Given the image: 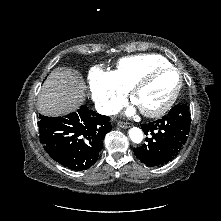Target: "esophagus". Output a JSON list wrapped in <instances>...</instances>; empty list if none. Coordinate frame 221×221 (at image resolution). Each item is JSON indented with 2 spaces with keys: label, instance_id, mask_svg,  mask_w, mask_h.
Here are the masks:
<instances>
[{
  "label": "esophagus",
  "instance_id": "34e87169",
  "mask_svg": "<svg viewBox=\"0 0 221 221\" xmlns=\"http://www.w3.org/2000/svg\"><path fill=\"white\" fill-rule=\"evenodd\" d=\"M117 125H118L119 127H121V128H129V127H130V124H129V123H127V122H122V121H119V122L117 123Z\"/></svg>",
  "mask_w": 221,
  "mask_h": 221
}]
</instances>
